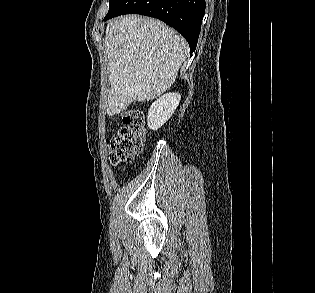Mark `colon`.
<instances>
[{
	"label": "colon",
	"instance_id": "obj_1",
	"mask_svg": "<svg viewBox=\"0 0 315 293\" xmlns=\"http://www.w3.org/2000/svg\"><path fill=\"white\" fill-rule=\"evenodd\" d=\"M123 126L110 141V159L117 164L139 155L146 138L144 114L140 109H128L121 114Z\"/></svg>",
	"mask_w": 315,
	"mask_h": 293
}]
</instances>
